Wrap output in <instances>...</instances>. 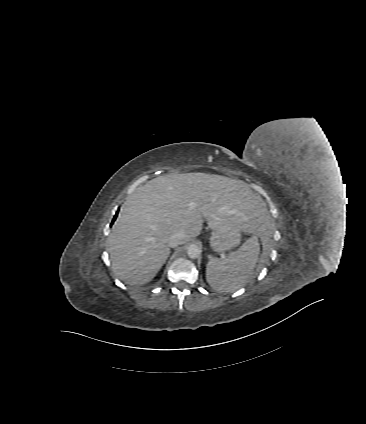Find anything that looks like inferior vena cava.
<instances>
[{
	"instance_id": "obj_1",
	"label": "inferior vena cava",
	"mask_w": 366,
	"mask_h": 424,
	"mask_svg": "<svg viewBox=\"0 0 366 424\" xmlns=\"http://www.w3.org/2000/svg\"><path fill=\"white\" fill-rule=\"evenodd\" d=\"M184 233L182 231L176 232L169 238V246L174 248L181 244L182 239L184 238Z\"/></svg>"
}]
</instances>
